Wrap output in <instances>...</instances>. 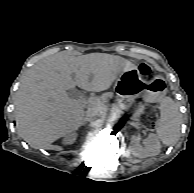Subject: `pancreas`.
<instances>
[{"label": "pancreas", "mask_w": 194, "mask_h": 193, "mask_svg": "<svg viewBox=\"0 0 194 193\" xmlns=\"http://www.w3.org/2000/svg\"><path fill=\"white\" fill-rule=\"evenodd\" d=\"M118 107H120L126 113H133L134 111H139V110H141V112H145V109H142V107H139L138 104L130 103V102H128L126 106H123V107L118 106Z\"/></svg>", "instance_id": "pancreas-1"}]
</instances>
